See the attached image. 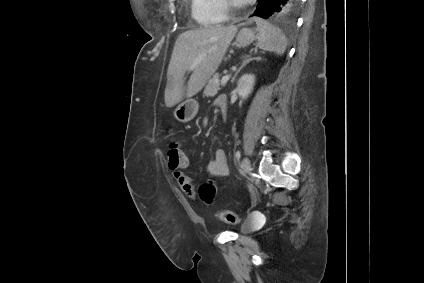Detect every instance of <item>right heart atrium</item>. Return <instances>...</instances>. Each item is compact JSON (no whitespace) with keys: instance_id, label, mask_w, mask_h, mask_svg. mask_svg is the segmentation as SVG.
Returning a JSON list of instances; mask_svg holds the SVG:
<instances>
[{"instance_id":"obj_1","label":"right heart atrium","mask_w":424,"mask_h":283,"mask_svg":"<svg viewBox=\"0 0 424 283\" xmlns=\"http://www.w3.org/2000/svg\"><path fill=\"white\" fill-rule=\"evenodd\" d=\"M224 1V0H223ZM224 3V7L226 6V4H225V2H223Z\"/></svg>"}]
</instances>
